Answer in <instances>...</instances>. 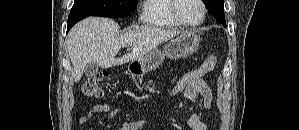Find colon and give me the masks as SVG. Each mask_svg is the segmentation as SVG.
<instances>
[{
  "instance_id": "obj_1",
  "label": "colon",
  "mask_w": 299,
  "mask_h": 130,
  "mask_svg": "<svg viewBox=\"0 0 299 130\" xmlns=\"http://www.w3.org/2000/svg\"><path fill=\"white\" fill-rule=\"evenodd\" d=\"M218 57L216 55L209 56L199 67L186 71L176 77L173 85L168 92V97L173 98L183 93L189 86L203 80V77L214 70L217 64ZM108 76V73L103 72L86 79L82 85V92L90 98L99 99L103 96L101 82Z\"/></svg>"
}]
</instances>
